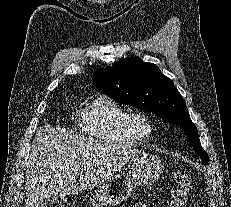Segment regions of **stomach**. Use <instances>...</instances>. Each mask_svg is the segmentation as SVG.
<instances>
[{"label":"stomach","mask_w":231,"mask_h":207,"mask_svg":"<svg viewBox=\"0 0 231 207\" xmlns=\"http://www.w3.org/2000/svg\"><path fill=\"white\" fill-rule=\"evenodd\" d=\"M161 161L157 156L139 153L128 163V173L117 172L108 178L100 190L90 198L92 207L116 206L125 201L137 186H150L162 171Z\"/></svg>","instance_id":"stomach-1"}]
</instances>
